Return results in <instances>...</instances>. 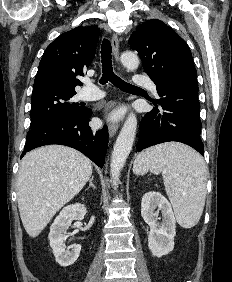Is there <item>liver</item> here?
I'll use <instances>...</instances> for the list:
<instances>
[{
	"instance_id": "6515ba94",
	"label": "liver",
	"mask_w": 232,
	"mask_h": 282,
	"mask_svg": "<svg viewBox=\"0 0 232 282\" xmlns=\"http://www.w3.org/2000/svg\"><path fill=\"white\" fill-rule=\"evenodd\" d=\"M91 175L90 160L73 148L48 145L27 153L18 172L17 201L28 235L38 236Z\"/></svg>"
}]
</instances>
